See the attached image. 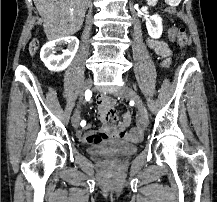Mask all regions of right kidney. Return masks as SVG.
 <instances>
[{
	"label": "right kidney",
	"instance_id": "1",
	"mask_svg": "<svg viewBox=\"0 0 217 202\" xmlns=\"http://www.w3.org/2000/svg\"><path fill=\"white\" fill-rule=\"evenodd\" d=\"M67 46V50H62L63 54L55 56V52L61 50V46ZM79 46L78 38L75 36H68V38H59V40H53V42H47L41 48L40 58L44 62L48 70L52 72H61L68 68L71 64Z\"/></svg>",
	"mask_w": 217,
	"mask_h": 202
}]
</instances>
